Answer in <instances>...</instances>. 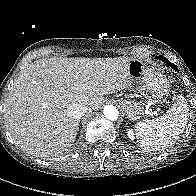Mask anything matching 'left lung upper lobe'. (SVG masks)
<instances>
[{
	"mask_svg": "<svg viewBox=\"0 0 196 196\" xmlns=\"http://www.w3.org/2000/svg\"><path fill=\"white\" fill-rule=\"evenodd\" d=\"M157 58L161 59L165 63H167L169 66H171L173 69L177 68L173 63L169 62L165 57L163 56H157Z\"/></svg>",
	"mask_w": 196,
	"mask_h": 196,
	"instance_id": "left-lung-upper-lobe-1",
	"label": "left lung upper lobe"
}]
</instances>
